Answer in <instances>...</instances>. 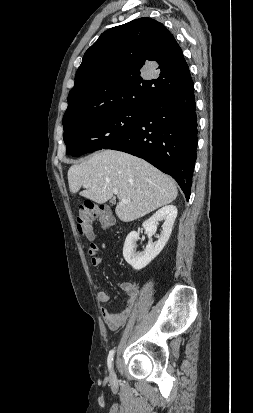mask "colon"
<instances>
[{
    "mask_svg": "<svg viewBox=\"0 0 253 413\" xmlns=\"http://www.w3.org/2000/svg\"><path fill=\"white\" fill-rule=\"evenodd\" d=\"M98 219L104 229L110 228L113 223V217L105 205H97L92 202L80 206L77 214L78 232L88 240L94 239L92 224Z\"/></svg>",
    "mask_w": 253,
    "mask_h": 413,
    "instance_id": "obj_1",
    "label": "colon"
}]
</instances>
